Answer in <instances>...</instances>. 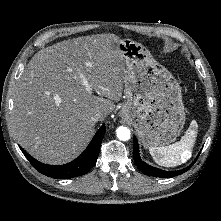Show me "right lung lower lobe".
Instances as JSON below:
<instances>
[{"instance_id": "98d812e1", "label": "right lung lower lobe", "mask_w": 221, "mask_h": 221, "mask_svg": "<svg viewBox=\"0 0 221 221\" xmlns=\"http://www.w3.org/2000/svg\"><path fill=\"white\" fill-rule=\"evenodd\" d=\"M104 134L105 125H102L84 152L65 165L43 164L31 157L23 148L20 147V149L32 166L40 173L51 178L67 179L86 174L96 164Z\"/></svg>"}]
</instances>
